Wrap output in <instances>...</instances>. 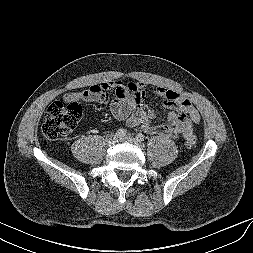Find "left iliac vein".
Masks as SVG:
<instances>
[{"label":"left iliac vein","mask_w":253,"mask_h":253,"mask_svg":"<svg viewBox=\"0 0 253 253\" xmlns=\"http://www.w3.org/2000/svg\"><path fill=\"white\" fill-rule=\"evenodd\" d=\"M120 140L122 142L135 144V145L139 146L140 148L143 147V144L141 142H139L136 138L132 137V136H126V137L121 138Z\"/></svg>","instance_id":"1"}]
</instances>
